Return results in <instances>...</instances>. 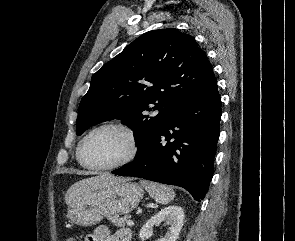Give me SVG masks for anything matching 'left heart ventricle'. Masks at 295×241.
I'll return each instance as SVG.
<instances>
[{"label":"left heart ventricle","mask_w":295,"mask_h":241,"mask_svg":"<svg viewBox=\"0 0 295 241\" xmlns=\"http://www.w3.org/2000/svg\"><path fill=\"white\" fill-rule=\"evenodd\" d=\"M130 150L128 137L115 128L95 132L84 148V159L92 165H111L124 159Z\"/></svg>","instance_id":"1"}]
</instances>
